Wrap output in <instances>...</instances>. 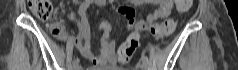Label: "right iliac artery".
<instances>
[{
	"mask_svg": "<svg viewBox=\"0 0 238 70\" xmlns=\"http://www.w3.org/2000/svg\"><path fill=\"white\" fill-rule=\"evenodd\" d=\"M78 64H79V59L78 58L74 59L73 60V65H78Z\"/></svg>",
	"mask_w": 238,
	"mask_h": 70,
	"instance_id": "82829eb1",
	"label": "right iliac artery"
}]
</instances>
